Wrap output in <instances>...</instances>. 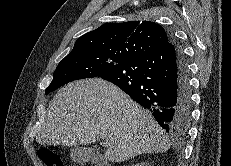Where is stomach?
Masks as SVG:
<instances>
[{
    "label": "stomach",
    "instance_id": "0dacf381",
    "mask_svg": "<svg viewBox=\"0 0 231 166\" xmlns=\"http://www.w3.org/2000/svg\"><path fill=\"white\" fill-rule=\"evenodd\" d=\"M71 157L74 161L85 162L87 160L85 156V150L82 148H74L71 150Z\"/></svg>",
    "mask_w": 231,
    "mask_h": 166
}]
</instances>
